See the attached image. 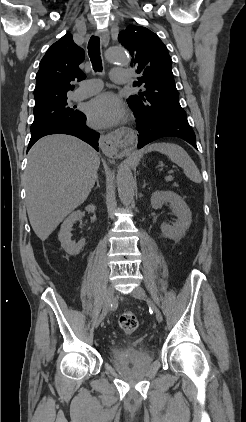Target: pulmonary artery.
Wrapping results in <instances>:
<instances>
[{"instance_id":"pulmonary-artery-1","label":"pulmonary artery","mask_w":246,"mask_h":422,"mask_svg":"<svg viewBox=\"0 0 246 422\" xmlns=\"http://www.w3.org/2000/svg\"><path fill=\"white\" fill-rule=\"evenodd\" d=\"M112 81L117 84H126L130 81V74L126 69H113ZM102 83L98 79H89L80 83L72 95V100L78 101L90 97L100 91Z\"/></svg>"}]
</instances>
